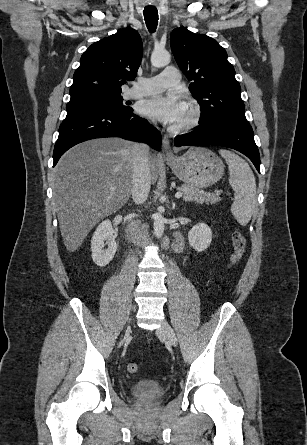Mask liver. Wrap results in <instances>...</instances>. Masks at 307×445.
I'll return each instance as SVG.
<instances>
[{
  "instance_id": "1",
  "label": "liver",
  "mask_w": 307,
  "mask_h": 445,
  "mask_svg": "<svg viewBox=\"0 0 307 445\" xmlns=\"http://www.w3.org/2000/svg\"><path fill=\"white\" fill-rule=\"evenodd\" d=\"M148 160L151 182H156L163 160L150 152ZM132 176L130 140L93 138L63 154L52 182L59 229L69 253L77 251L99 220L127 202Z\"/></svg>"
}]
</instances>
